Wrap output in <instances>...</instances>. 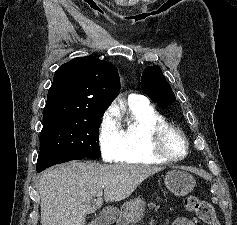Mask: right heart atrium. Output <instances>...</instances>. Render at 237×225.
Returning <instances> with one entry per match:
<instances>
[{
    "label": "right heart atrium",
    "instance_id": "1",
    "mask_svg": "<svg viewBox=\"0 0 237 225\" xmlns=\"http://www.w3.org/2000/svg\"><path fill=\"white\" fill-rule=\"evenodd\" d=\"M97 138L102 158L106 162H117L123 147L121 128L109 112L99 121Z\"/></svg>",
    "mask_w": 237,
    "mask_h": 225
}]
</instances>
